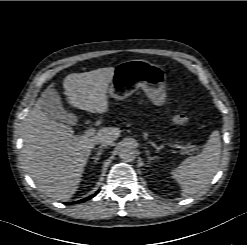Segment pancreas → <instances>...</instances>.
<instances>
[{
  "label": "pancreas",
  "mask_w": 247,
  "mask_h": 245,
  "mask_svg": "<svg viewBox=\"0 0 247 245\" xmlns=\"http://www.w3.org/2000/svg\"><path fill=\"white\" fill-rule=\"evenodd\" d=\"M189 150H191V149H190V146L187 145V146H186V149L183 151V153H187V151H189Z\"/></svg>",
  "instance_id": "obj_1"
}]
</instances>
